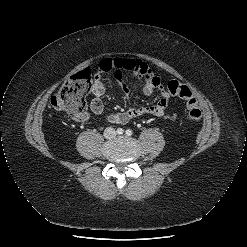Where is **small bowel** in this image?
Segmentation results:
<instances>
[{
  "instance_id": "c3829d8e",
  "label": "small bowel",
  "mask_w": 247,
  "mask_h": 247,
  "mask_svg": "<svg viewBox=\"0 0 247 247\" xmlns=\"http://www.w3.org/2000/svg\"><path fill=\"white\" fill-rule=\"evenodd\" d=\"M129 71L133 74L137 83H140L141 91L146 96H151L154 90L160 93V99L155 105L151 106H136L128 109L115 112L107 117V120L113 124H124L129 120L143 115H153L164 117L166 119H174V113H168L170 94L164 86L159 74L153 72L151 68L142 60L134 58H119L110 57L105 58L99 63L98 72L94 79L91 91L94 95L91 101L90 108L93 114L100 116L103 113V103L101 97L105 93V85L102 81V75L113 72L119 79L125 95H129L130 89L122 79V73ZM78 122H85L89 120L90 113L83 111L77 115L72 116Z\"/></svg>"
}]
</instances>
